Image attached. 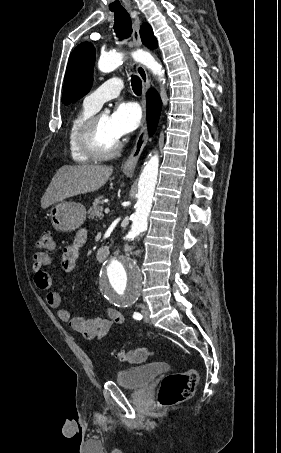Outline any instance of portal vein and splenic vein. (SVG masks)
<instances>
[{"label":"portal vein and splenic vein","mask_w":281,"mask_h":453,"mask_svg":"<svg viewBox=\"0 0 281 453\" xmlns=\"http://www.w3.org/2000/svg\"><path fill=\"white\" fill-rule=\"evenodd\" d=\"M105 212H106L107 214H110V208H105Z\"/></svg>","instance_id":"18ae733b"}]
</instances>
